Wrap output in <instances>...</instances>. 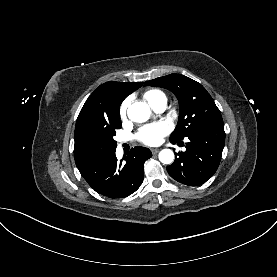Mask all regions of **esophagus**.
<instances>
[{"label":"esophagus","instance_id":"esophagus-1","mask_svg":"<svg viewBox=\"0 0 277 277\" xmlns=\"http://www.w3.org/2000/svg\"><path fill=\"white\" fill-rule=\"evenodd\" d=\"M159 151H160V149H158V148H152V149H151V152H152L153 154H157Z\"/></svg>","mask_w":277,"mask_h":277}]
</instances>
